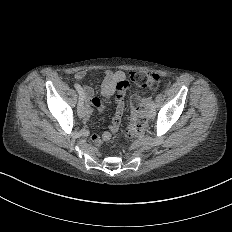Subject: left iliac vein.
I'll return each instance as SVG.
<instances>
[{"mask_svg":"<svg viewBox=\"0 0 232 232\" xmlns=\"http://www.w3.org/2000/svg\"><path fill=\"white\" fill-rule=\"evenodd\" d=\"M148 117H149L150 119H153V118L155 117V112H154L153 110H150V111L148 112Z\"/></svg>","mask_w":232,"mask_h":232,"instance_id":"obj_1","label":"left iliac vein"}]
</instances>
